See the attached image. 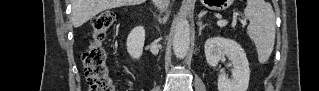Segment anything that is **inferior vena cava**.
<instances>
[{"label":"inferior vena cava","instance_id":"inferior-vena-cava-1","mask_svg":"<svg viewBox=\"0 0 319 91\" xmlns=\"http://www.w3.org/2000/svg\"><path fill=\"white\" fill-rule=\"evenodd\" d=\"M154 5L160 11V13L167 10L170 0H153Z\"/></svg>","mask_w":319,"mask_h":91}]
</instances>
